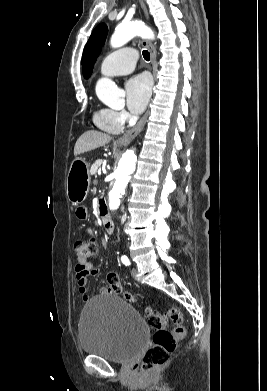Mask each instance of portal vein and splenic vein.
I'll return each mask as SVG.
<instances>
[{"label":"portal vein and splenic vein","instance_id":"18ae733b","mask_svg":"<svg viewBox=\"0 0 267 391\" xmlns=\"http://www.w3.org/2000/svg\"><path fill=\"white\" fill-rule=\"evenodd\" d=\"M98 175H101V169L98 170Z\"/></svg>","mask_w":267,"mask_h":391}]
</instances>
